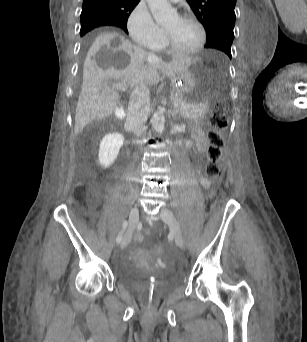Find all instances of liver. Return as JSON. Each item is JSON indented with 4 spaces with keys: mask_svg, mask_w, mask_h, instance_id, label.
Listing matches in <instances>:
<instances>
[{
    "mask_svg": "<svg viewBox=\"0 0 307 342\" xmlns=\"http://www.w3.org/2000/svg\"><path fill=\"white\" fill-rule=\"evenodd\" d=\"M118 38V40H115ZM147 62V64H146ZM194 58L173 56L171 62L131 44L116 32H103L95 38L83 66V82L75 112V136L92 120L112 116L120 98L106 80H124L129 86H149L159 82V72L175 78L190 68Z\"/></svg>",
    "mask_w": 307,
    "mask_h": 342,
    "instance_id": "6515ba94",
    "label": "liver"
}]
</instances>
